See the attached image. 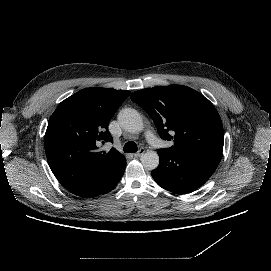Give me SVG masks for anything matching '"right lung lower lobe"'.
I'll return each instance as SVG.
<instances>
[{
	"instance_id": "right-lung-lower-lobe-1",
	"label": "right lung lower lobe",
	"mask_w": 271,
	"mask_h": 271,
	"mask_svg": "<svg viewBox=\"0 0 271 271\" xmlns=\"http://www.w3.org/2000/svg\"><path fill=\"white\" fill-rule=\"evenodd\" d=\"M125 168L119 172V174L117 176H115V178L106 186H103L101 189L95 191V192H90V193H83V194H76L80 197H85V198H92V197H96L98 195L101 194H106L108 192H110L111 190H113L116 185L118 184V182L120 181L123 173H124Z\"/></svg>"
}]
</instances>
